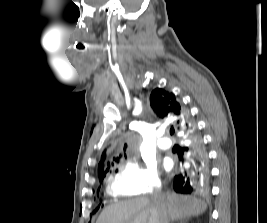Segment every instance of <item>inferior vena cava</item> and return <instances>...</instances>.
<instances>
[{
  "label": "inferior vena cava",
  "mask_w": 267,
  "mask_h": 223,
  "mask_svg": "<svg viewBox=\"0 0 267 223\" xmlns=\"http://www.w3.org/2000/svg\"><path fill=\"white\" fill-rule=\"evenodd\" d=\"M153 199H154V202L157 204V206H159V208H160V221L159 222L160 223H168L167 214L163 208L164 195L161 192V189H157L154 192Z\"/></svg>",
  "instance_id": "obj_1"
}]
</instances>
